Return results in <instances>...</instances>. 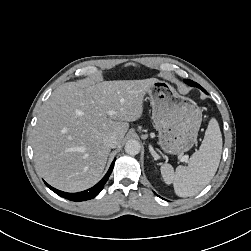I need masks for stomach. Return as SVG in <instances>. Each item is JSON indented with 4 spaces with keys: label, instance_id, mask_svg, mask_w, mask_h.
<instances>
[{
    "label": "stomach",
    "instance_id": "obj_1",
    "mask_svg": "<svg viewBox=\"0 0 251 251\" xmlns=\"http://www.w3.org/2000/svg\"><path fill=\"white\" fill-rule=\"evenodd\" d=\"M159 145L168 154H183L195 144L202 121L201 109L173 86L157 80L147 90Z\"/></svg>",
    "mask_w": 251,
    "mask_h": 251
}]
</instances>
